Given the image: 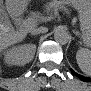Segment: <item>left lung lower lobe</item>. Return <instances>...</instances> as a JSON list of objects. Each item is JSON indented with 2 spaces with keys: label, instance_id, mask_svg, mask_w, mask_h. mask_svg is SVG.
I'll list each match as a JSON object with an SVG mask.
<instances>
[{
  "label": "left lung lower lobe",
  "instance_id": "left-lung-lower-lobe-1",
  "mask_svg": "<svg viewBox=\"0 0 91 91\" xmlns=\"http://www.w3.org/2000/svg\"><path fill=\"white\" fill-rule=\"evenodd\" d=\"M71 71H72V73L73 74H75L76 76H78L79 78H81V79H83V77L82 76H80V75H78V74H76L72 69H70Z\"/></svg>",
  "mask_w": 91,
  "mask_h": 91
}]
</instances>
